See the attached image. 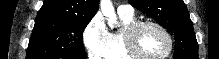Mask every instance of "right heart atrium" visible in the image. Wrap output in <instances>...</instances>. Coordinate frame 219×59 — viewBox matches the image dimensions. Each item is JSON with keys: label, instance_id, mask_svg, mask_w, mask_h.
Here are the masks:
<instances>
[{"label": "right heart atrium", "instance_id": "1", "mask_svg": "<svg viewBox=\"0 0 219 59\" xmlns=\"http://www.w3.org/2000/svg\"><path fill=\"white\" fill-rule=\"evenodd\" d=\"M109 34L101 16H94L82 34V42L91 59H101L108 46Z\"/></svg>", "mask_w": 219, "mask_h": 59}]
</instances>
